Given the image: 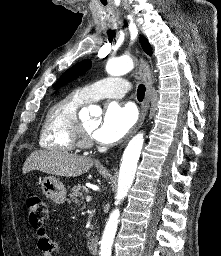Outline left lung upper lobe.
<instances>
[{"mask_svg": "<svg viewBox=\"0 0 221 256\" xmlns=\"http://www.w3.org/2000/svg\"><path fill=\"white\" fill-rule=\"evenodd\" d=\"M140 43L144 51L148 54H152V50L150 47V44L146 40L145 37L140 36ZM91 67V60H83L76 65L72 66L70 69H68L64 74L60 77L56 89L67 84L70 81H73L80 75L84 74L89 68Z\"/></svg>", "mask_w": 221, "mask_h": 256, "instance_id": "obj_1", "label": "left lung upper lobe"}]
</instances>
